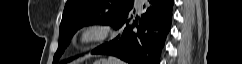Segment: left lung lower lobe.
<instances>
[{
  "instance_id": "obj_1",
  "label": "left lung lower lobe",
  "mask_w": 242,
  "mask_h": 64,
  "mask_svg": "<svg viewBox=\"0 0 242 64\" xmlns=\"http://www.w3.org/2000/svg\"><path fill=\"white\" fill-rule=\"evenodd\" d=\"M174 0H147L146 12L133 19V5L114 25L124 30L92 54L109 55L130 64H159L160 55L170 30Z\"/></svg>"
}]
</instances>
